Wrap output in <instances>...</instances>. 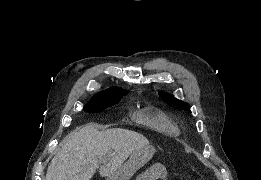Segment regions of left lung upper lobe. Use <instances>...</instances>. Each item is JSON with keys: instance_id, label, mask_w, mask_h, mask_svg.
<instances>
[{"instance_id": "obj_1", "label": "left lung upper lobe", "mask_w": 261, "mask_h": 180, "mask_svg": "<svg viewBox=\"0 0 261 180\" xmlns=\"http://www.w3.org/2000/svg\"><path fill=\"white\" fill-rule=\"evenodd\" d=\"M160 96H161L162 99L166 100L168 103H171V104H173L175 106H178V107H181V108H183L185 110L190 111L188 103H185V102H182L180 100H177L173 96L168 95V94H160Z\"/></svg>"}]
</instances>
